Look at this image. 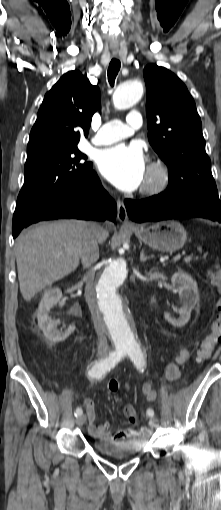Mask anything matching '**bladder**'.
<instances>
[{
  "label": "bladder",
  "mask_w": 221,
  "mask_h": 510,
  "mask_svg": "<svg viewBox=\"0 0 221 510\" xmlns=\"http://www.w3.org/2000/svg\"><path fill=\"white\" fill-rule=\"evenodd\" d=\"M94 448L97 452L112 458H127L136 455L144 448L140 439L134 438L129 441L111 440H93Z\"/></svg>",
  "instance_id": "obj_1"
}]
</instances>
